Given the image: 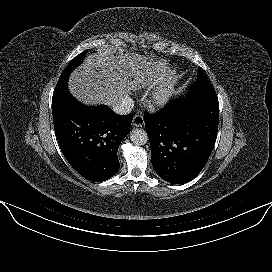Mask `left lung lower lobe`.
<instances>
[{"label":"left lung lower lobe","mask_w":272,"mask_h":272,"mask_svg":"<svg viewBox=\"0 0 272 272\" xmlns=\"http://www.w3.org/2000/svg\"><path fill=\"white\" fill-rule=\"evenodd\" d=\"M145 123L156 173L173 184L189 182L204 168L217 138V95L174 99L155 115L145 113Z\"/></svg>","instance_id":"1"}]
</instances>
